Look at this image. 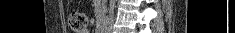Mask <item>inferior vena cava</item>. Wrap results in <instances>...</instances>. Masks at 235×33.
<instances>
[{"label": "inferior vena cava", "mask_w": 235, "mask_h": 33, "mask_svg": "<svg viewBox=\"0 0 235 33\" xmlns=\"http://www.w3.org/2000/svg\"><path fill=\"white\" fill-rule=\"evenodd\" d=\"M113 19V8L110 9V20Z\"/></svg>", "instance_id": "1"}]
</instances>
